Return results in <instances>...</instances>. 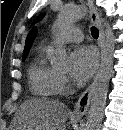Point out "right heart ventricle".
Returning a JSON list of instances; mask_svg holds the SVG:
<instances>
[{
	"label": "right heart ventricle",
	"mask_w": 123,
	"mask_h": 130,
	"mask_svg": "<svg viewBox=\"0 0 123 130\" xmlns=\"http://www.w3.org/2000/svg\"><path fill=\"white\" fill-rule=\"evenodd\" d=\"M50 49V47L39 48L29 68L31 90L35 95L43 98H52L60 93V74L47 59Z\"/></svg>",
	"instance_id": "e07e8e85"
}]
</instances>
